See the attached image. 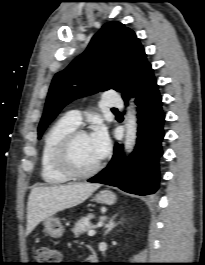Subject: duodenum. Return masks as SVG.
I'll return each mask as SVG.
<instances>
[{
    "label": "duodenum",
    "mask_w": 205,
    "mask_h": 265,
    "mask_svg": "<svg viewBox=\"0 0 205 265\" xmlns=\"http://www.w3.org/2000/svg\"><path fill=\"white\" fill-rule=\"evenodd\" d=\"M89 260H90V261H94V257H93V256H90V257H89Z\"/></svg>",
    "instance_id": "1"
}]
</instances>
